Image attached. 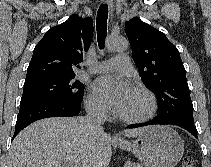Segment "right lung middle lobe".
I'll return each mask as SVG.
<instances>
[{
    "label": "right lung middle lobe",
    "mask_w": 211,
    "mask_h": 167,
    "mask_svg": "<svg viewBox=\"0 0 211 167\" xmlns=\"http://www.w3.org/2000/svg\"><path fill=\"white\" fill-rule=\"evenodd\" d=\"M75 76H49L26 80L20 106L39 102H78L84 85Z\"/></svg>",
    "instance_id": "1"
}]
</instances>
